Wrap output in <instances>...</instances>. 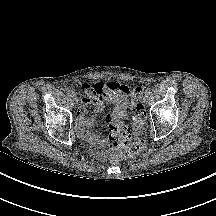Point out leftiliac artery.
Here are the masks:
<instances>
[{"label":"left iliac artery","instance_id":"obj_1","mask_svg":"<svg viewBox=\"0 0 216 216\" xmlns=\"http://www.w3.org/2000/svg\"><path fill=\"white\" fill-rule=\"evenodd\" d=\"M151 93H152V92H151L150 89H147V90H146V94L150 95Z\"/></svg>","mask_w":216,"mask_h":216}]
</instances>
